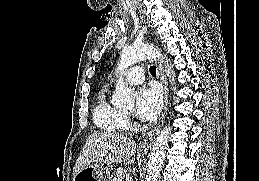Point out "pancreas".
Returning a JSON list of instances; mask_svg holds the SVG:
<instances>
[{"label":"pancreas","instance_id":"1","mask_svg":"<svg viewBox=\"0 0 259 181\" xmlns=\"http://www.w3.org/2000/svg\"><path fill=\"white\" fill-rule=\"evenodd\" d=\"M125 169L118 168L111 176V181H122V178L125 174Z\"/></svg>","mask_w":259,"mask_h":181}]
</instances>
